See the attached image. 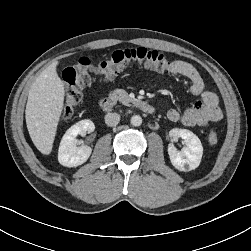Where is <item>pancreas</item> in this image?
<instances>
[{
  "mask_svg": "<svg viewBox=\"0 0 251 251\" xmlns=\"http://www.w3.org/2000/svg\"><path fill=\"white\" fill-rule=\"evenodd\" d=\"M109 99L112 101H119L125 105H129V103L132 101L129 98L128 93L123 89H115L113 92L109 94Z\"/></svg>",
  "mask_w": 251,
  "mask_h": 251,
  "instance_id": "cf45deb5",
  "label": "pancreas"
}]
</instances>
